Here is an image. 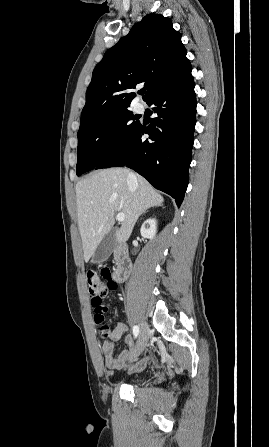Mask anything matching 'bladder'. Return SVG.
<instances>
[{"label": "bladder", "instance_id": "obj_1", "mask_svg": "<svg viewBox=\"0 0 269 447\" xmlns=\"http://www.w3.org/2000/svg\"><path fill=\"white\" fill-rule=\"evenodd\" d=\"M134 382H136V383H138V384H140V383H141V381H140V379H139V378H135V379H134Z\"/></svg>", "mask_w": 269, "mask_h": 447}]
</instances>
